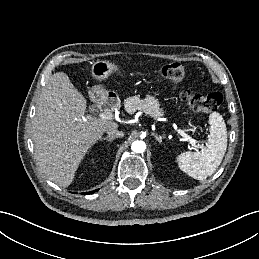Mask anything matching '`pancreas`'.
<instances>
[{
	"instance_id": "pancreas-1",
	"label": "pancreas",
	"mask_w": 259,
	"mask_h": 259,
	"mask_svg": "<svg viewBox=\"0 0 259 259\" xmlns=\"http://www.w3.org/2000/svg\"><path fill=\"white\" fill-rule=\"evenodd\" d=\"M124 105L126 111L130 114L140 110L153 118H158L163 115L157 99L152 96H147L145 99H140L139 96L130 97L125 100Z\"/></svg>"
}]
</instances>
